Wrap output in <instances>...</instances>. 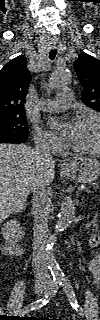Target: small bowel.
<instances>
[{"label": "small bowel", "instance_id": "small-bowel-1", "mask_svg": "<svg viewBox=\"0 0 100 320\" xmlns=\"http://www.w3.org/2000/svg\"><path fill=\"white\" fill-rule=\"evenodd\" d=\"M98 246H96V247H98ZM88 268L93 276L94 282L96 284H99L100 283V259L94 258L93 260H91Z\"/></svg>", "mask_w": 100, "mask_h": 320}]
</instances>
